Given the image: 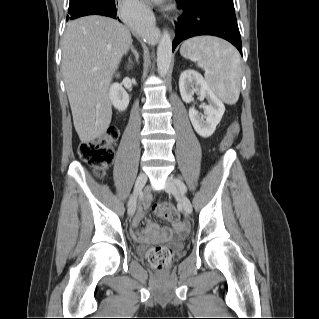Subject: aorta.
<instances>
[{"label": "aorta", "mask_w": 319, "mask_h": 319, "mask_svg": "<svg viewBox=\"0 0 319 319\" xmlns=\"http://www.w3.org/2000/svg\"><path fill=\"white\" fill-rule=\"evenodd\" d=\"M150 28V25L144 20H140V29L143 33ZM172 59V40L168 31L164 30L157 48V68L161 77L167 75Z\"/></svg>", "instance_id": "aorta-1"}]
</instances>
